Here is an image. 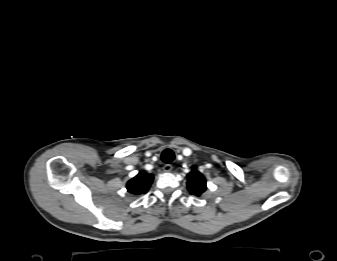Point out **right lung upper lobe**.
Returning a JSON list of instances; mask_svg holds the SVG:
<instances>
[{
  "mask_svg": "<svg viewBox=\"0 0 337 261\" xmlns=\"http://www.w3.org/2000/svg\"><path fill=\"white\" fill-rule=\"evenodd\" d=\"M153 181V175L144 172H139L134 178L128 181L127 190L128 192L140 195L146 193Z\"/></svg>",
  "mask_w": 337,
  "mask_h": 261,
  "instance_id": "1",
  "label": "right lung upper lobe"
}]
</instances>
